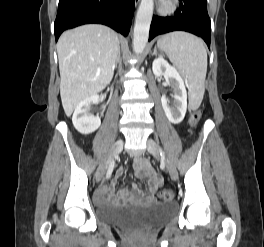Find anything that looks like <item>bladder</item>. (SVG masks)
Wrapping results in <instances>:
<instances>
[{
    "label": "bladder",
    "instance_id": "1",
    "mask_svg": "<svg viewBox=\"0 0 264 247\" xmlns=\"http://www.w3.org/2000/svg\"><path fill=\"white\" fill-rule=\"evenodd\" d=\"M97 219L107 225L134 231L154 228L170 220L174 206L166 202L149 205H108L96 208Z\"/></svg>",
    "mask_w": 264,
    "mask_h": 247
}]
</instances>
